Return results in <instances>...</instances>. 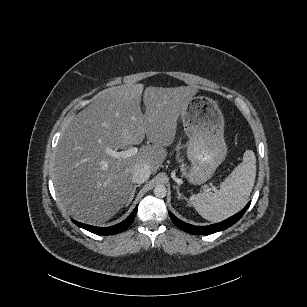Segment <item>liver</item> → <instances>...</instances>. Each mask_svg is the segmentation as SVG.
<instances>
[{"mask_svg": "<svg viewBox=\"0 0 307 307\" xmlns=\"http://www.w3.org/2000/svg\"><path fill=\"white\" fill-rule=\"evenodd\" d=\"M143 84L119 85L100 91L94 101L68 125L52 163L56 197L75 219L102 224L127 204L132 174L138 163L155 172L172 143L176 121L196 88L147 87L141 111ZM143 146L131 157L109 154L128 145Z\"/></svg>", "mask_w": 307, "mask_h": 307, "instance_id": "1", "label": "liver"}]
</instances>
